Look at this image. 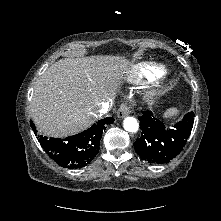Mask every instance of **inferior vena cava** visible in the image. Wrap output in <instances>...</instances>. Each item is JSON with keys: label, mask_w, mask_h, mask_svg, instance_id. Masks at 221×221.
I'll list each match as a JSON object with an SVG mask.
<instances>
[{"label": "inferior vena cava", "mask_w": 221, "mask_h": 221, "mask_svg": "<svg viewBox=\"0 0 221 221\" xmlns=\"http://www.w3.org/2000/svg\"><path fill=\"white\" fill-rule=\"evenodd\" d=\"M108 109H109V103L108 102H102V103H100L99 109L96 111V114L98 116H102V115H104L105 113L108 112Z\"/></svg>", "instance_id": "inferior-vena-cava-1"}]
</instances>
